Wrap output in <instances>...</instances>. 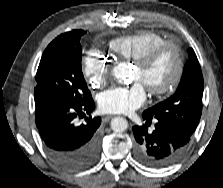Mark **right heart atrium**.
<instances>
[{"instance_id":"d8ad5b80","label":"right heart atrium","mask_w":223,"mask_h":188,"mask_svg":"<svg viewBox=\"0 0 223 188\" xmlns=\"http://www.w3.org/2000/svg\"><path fill=\"white\" fill-rule=\"evenodd\" d=\"M82 72L91 87L99 88L109 78V61L96 52H88L82 60Z\"/></svg>"}]
</instances>
